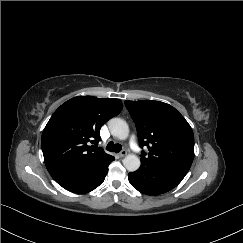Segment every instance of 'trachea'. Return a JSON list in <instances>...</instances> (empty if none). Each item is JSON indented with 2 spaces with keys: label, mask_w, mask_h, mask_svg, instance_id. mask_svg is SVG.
<instances>
[{
  "label": "trachea",
  "mask_w": 243,
  "mask_h": 243,
  "mask_svg": "<svg viewBox=\"0 0 243 243\" xmlns=\"http://www.w3.org/2000/svg\"><path fill=\"white\" fill-rule=\"evenodd\" d=\"M108 151L111 152H120L122 146L120 144H114L113 142H109L106 146Z\"/></svg>",
  "instance_id": "obj_1"
}]
</instances>
